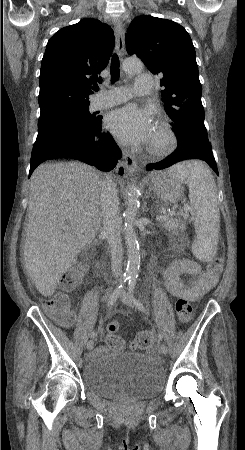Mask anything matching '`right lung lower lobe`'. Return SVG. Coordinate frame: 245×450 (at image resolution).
I'll return each mask as SVG.
<instances>
[{
	"label": "right lung lower lobe",
	"instance_id": "obj_1",
	"mask_svg": "<svg viewBox=\"0 0 245 450\" xmlns=\"http://www.w3.org/2000/svg\"><path fill=\"white\" fill-rule=\"evenodd\" d=\"M102 117L81 132L50 141L32 150L29 177L42 162L53 158H72L96 166L99 170L114 169L121 158L119 147L109 133H101ZM119 174L123 170L119 169Z\"/></svg>",
	"mask_w": 245,
	"mask_h": 450
}]
</instances>
